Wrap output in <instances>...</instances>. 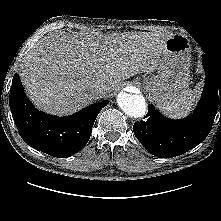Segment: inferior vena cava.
<instances>
[{"mask_svg":"<svg viewBox=\"0 0 221 221\" xmlns=\"http://www.w3.org/2000/svg\"><path fill=\"white\" fill-rule=\"evenodd\" d=\"M107 91H108V87L104 83H99L93 87V92L98 97L105 95Z\"/></svg>","mask_w":221,"mask_h":221,"instance_id":"obj_1","label":"inferior vena cava"}]
</instances>
